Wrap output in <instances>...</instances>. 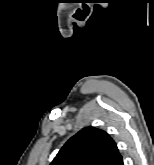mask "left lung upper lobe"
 I'll return each mask as SVG.
<instances>
[{
	"mask_svg": "<svg viewBox=\"0 0 154 165\" xmlns=\"http://www.w3.org/2000/svg\"><path fill=\"white\" fill-rule=\"evenodd\" d=\"M121 160L106 132L86 127L66 142L50 165H118Z\"/></svg>",
	"mask_w": 154,
	"mask_h": 165,
	"instance_id": "5c2ea615",
	"label": "left lung upper lobe"
}]
</instances>
